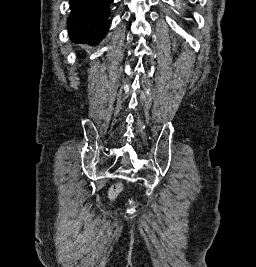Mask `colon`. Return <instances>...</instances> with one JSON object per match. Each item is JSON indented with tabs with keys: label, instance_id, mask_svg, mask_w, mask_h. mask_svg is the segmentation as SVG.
Returning a JSON list of instances; mask_svg holds the SVG:
<instances>
[{
	"label": "colon",
	"instance_id": "colon-1",
	"mask_svg": "<svg viewBox=\"0 0 256 267\" xmlns=\"http://www.w3.org/2000/svg\"><path fill=\"white\" fill-rule=\"evenodd\" d=\"M122 190H123L122 184L115 183L110 187L107 195L110 199H115L121 194Z\"/></svg>",
	"mask_w": 256,
	"mask_h": 267
}]
</instances>
